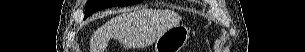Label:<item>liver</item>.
<instances>
[{
	"label": "liver",
	"instance_id": "obj_1",
	"mask_svg": "<svg viewBox=\"0 0 305 52\" xmlns=\"http://www.w3.org/2000/svg\"><path fill=\"white\" fill-rule=\"evenodd\" d=\"M145 15L134 11L116 16L99 27L90 39V52H104L110 39H123L139 34L144 28ZM181 17L174 12H167L157 25V32L153 36L155 41L168 29L179 25Z\"/></svg>",
	"mask_w": 305,
	"mask_h": 52
}]
</instances>
